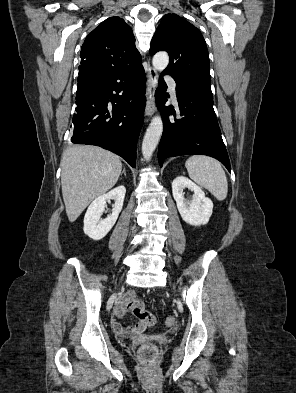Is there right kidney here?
Here are the masks:
<instances>
[{"label": "right kidney", "mask_w": 296, "mask_h": 393, "mask_svg": "<svg viewBox=\"0 0 296 393\" xmlns=\"http://www.w3.org/2000/svg\"><path fill=\"white\" fill-rule=\"evenodd\" d=\"M126 189L123 185L116 187L107 194L97 197L88 207L84 217V233L92 240H101L112 229L122 210ZM114 200L112 214L100 220L105 210L106 202Z\"/></svg>", "instance_id": "obj_1"}]
</instances>
